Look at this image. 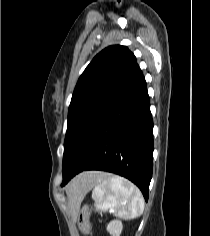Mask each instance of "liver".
<instances>
[{"label":"liver","mask_w":210,"mask_h":236,"mask_svg":"<svg viewBox=\"0 0 210 236\" xmlns=\"http://www.w3.org/2000/svg\"><path fill=\"white\" fill-rule=\"evenodd\" d=\"M100 172H84L76 176L68 185L67 193L70 199V205L73 208L76 201H80L84 195L91 189V184L96 179L103 176Z\"/></svg>","instance_id":"6515ba94"}]
</instances>
